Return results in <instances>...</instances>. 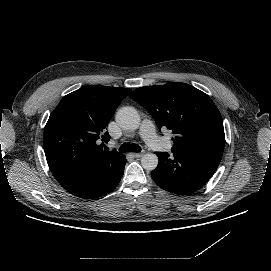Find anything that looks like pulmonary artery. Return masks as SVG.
<instances>
[{
	"instance_id": "obj_1",
	"label": "pulmonary artery",
	"mask_w": 271,
	"mask_h": 271,
	"mask_svg": "<svg viewBox=\"0 0 271 271\" xmlns=\"http://www.w3.org/2000/svg\"><path fill=\"white\" fill-rule=\"evenodd\" d=\"M139 134L147 144H150L156 136L153 123L150 120H144L141 124Z\"/></svg>"
}]
</instances>
